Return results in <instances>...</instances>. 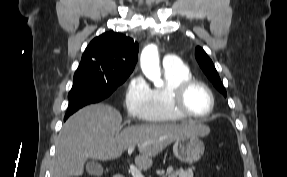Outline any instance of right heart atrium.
<instances>
[{"label":"right heart atrium","mask_w":287,"mask_h":177,"mask_svg":"<svg viewBox=\"0 0 287 177\" xmlns=\"http://www.w3.org/2000/svg\"><path fill=\"white\" fill-rule=\"evenodd\" d=\"M150 87L141 76L132 77L124 92V106L136 121L147 120Z\"/></svg>","instance_id":"right-heart-atrium-1"}]
</instances>
